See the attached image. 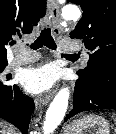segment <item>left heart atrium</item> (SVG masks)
<instances>
[{
  "label": "left heart atrium",
  "instance_id": "left-heart-atrium-1",
  "mask_svg": "<svg viewBox=\"0 0 116 134\" xmlns=\"http://www.w3.org/2000/svg\"><path fill=\"white\" fill-rule=\"evenodd\" d=\"M58 74L51 65H45L26 71L23 76V86L33 94H40L50 90L56 83Z\"/></svg>",
  "mask_w": 116,
  "mask_h": 134
}]
</instances>
